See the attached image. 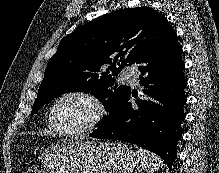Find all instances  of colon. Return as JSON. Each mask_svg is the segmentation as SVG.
<instances>
[{
    "label": "colon",
    "mask_w": 219,
    "mask_h": 173,
    "mask_svg": "<svg viewBox=\"0 0 219 173\" xmlns=\"http://www.w3.org/2000/svg\"><path fill=\"white\" fill-rule=\"evenodd\" d=\"M26 173H40V171L36 166H30Z\"/></svg>",
    "instance_id": "obj_1"
}]
</instances>
